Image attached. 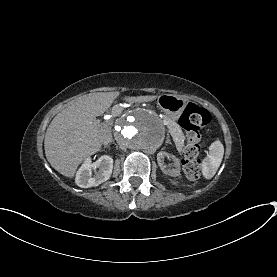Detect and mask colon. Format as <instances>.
Returning <instances> with one entry per match:
<instances>
[{
    "label": "colon",
    "instance_id": "5ec220e1",
    "mask_svg": "<svg viewBox=\"0 0 277 277\" xmlns=\"http://www.w3.org/2000/svg\"><path fill=\"white\" fill-rule=\"evenodd\" d=\"M210 121V112L194 104H188L179 119L180 126L186 132V139L179 147L181 164L184 174L192 180H197L202 175L199 141Z\"/></svg>",
    "mask_w": 277,
    "mask_h": 277
}]
</instances>
